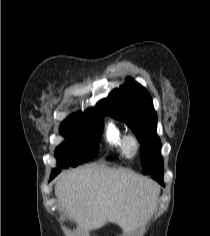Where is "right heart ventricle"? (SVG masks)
<instances>
[{
	"label": "right heart ventricle",
	"mask_w": 210,
	"mask_h": 236,
	"mask_svg": "<svg viewBox=\"0 0 210 236\" xmlns=\"http://www.w3.org/2000/svg\"><path fill=\"white\" fill-rule=\"evenodd\" d=\"M125 134L123 130L113 122L108 123L105 130V140L108 146L116 153L125 156L123 150V140Z\"/></svg>",
	"instance_id": "obj_1"
}]
</instances>
